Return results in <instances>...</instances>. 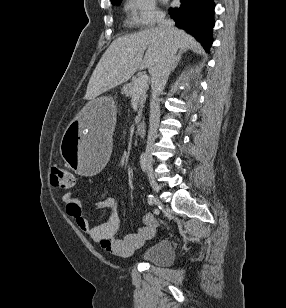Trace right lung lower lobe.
<instances>
[{
	"mask_svg": "<svg viewBox=\"0 0 286 308\" xmlns=\"http://www.w3.org/2000/svg\"><path fill=\"white\" fill-rule=\"evenodd\" d=\"M180 2L182 3L180 7L169 9L176 26L193 35L209 51L215 24L213 0H180Z\"/></svg>",
	"mask_w": 286,
	"mask_h": 308,
	"instance_id": "98d812e1",
	"label": "right lung lower lobe"
}]
</instances>
